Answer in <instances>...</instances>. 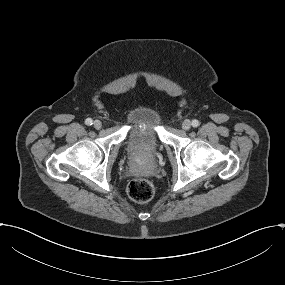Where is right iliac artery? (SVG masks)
<instances>
[{"label": "right iliac artery", "instance_id": "1", "mask_svg": "<svg viewBox=\"0 0 285 285\" xmlns=\"http://www.w3.org/2000/svg\"><path fill=\"white\" fill-rule=\"evenodd\" d=\"M85 123H86V125H92L93 124V120L91 118H87Z\"/></svg>", "mask_w": 285, "mask_h": 285}]
</instances>
